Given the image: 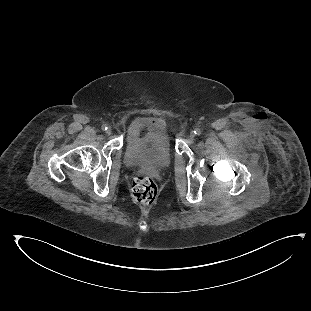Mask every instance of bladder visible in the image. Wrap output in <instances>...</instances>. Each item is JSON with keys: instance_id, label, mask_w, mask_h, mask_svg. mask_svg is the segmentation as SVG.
I'll use <instances>...</instances> for the list:
<instances>
[{"instance_id": "31cf9c89", "label": "bladder", "mask_w": 311, "mask_h": 311, "mask_svg": "<svg viewBox=\"0 0 311 311\" xmlns=\"http://www.w3.org/2000/svg\"><path fill=\"white\" fill-rule=\"evenodd\" d=\"M172 156V143L166 126H152L136 131L127 140L123 150L125 165L134 170L154 173L167 169Z\"/></svg>"}]
</instances>
